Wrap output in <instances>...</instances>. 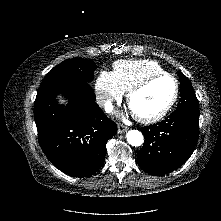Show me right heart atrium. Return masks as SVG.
Returning <instances> with one entry per match:
<instances>
[{"instance_id": "1", "label": "right heart atrium", "mask_w": 221, "mask_h": 221, "mask_svg": "<svg viewBox=\"0 0 221 221\" xmlns=\"http://www.w3.org/2000/svg\"><path fill=\"white\" fill-rule=\"evenodd\" d=\"M95 89L99 100L109 104L112 100L119 99L123 91L118 85L112 72L101 71L96 79Z\"/></svg>"}]
</instances>
